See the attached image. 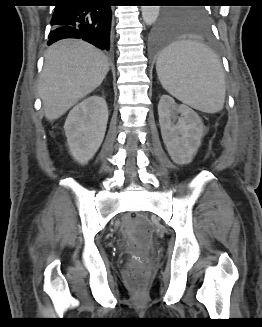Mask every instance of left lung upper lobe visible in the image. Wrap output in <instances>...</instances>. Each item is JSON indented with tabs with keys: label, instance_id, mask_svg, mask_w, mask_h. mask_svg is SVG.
Listing matches in <instances>:
<instances>
[{
	"label": "left lung upper lobe",
	"instance_id": "obj_1",
	"mask_svg": "<svg viewBox=\"0 0 262 327\" xmlns=\"http://www.w3.org/2000/svg\"><path fill=\"white\" fill-rule=\"evenodd\" d=\"M179 2L200 3L201 0H181ZM163 18L173 26L193 25L201 28L208 26L207 11L202 6L168 9L164 12Z\"/></svg>",
	"mask_w": 262,
	"mask_h": 327
}]
</instances>
